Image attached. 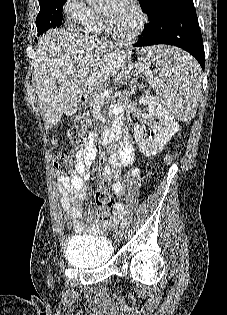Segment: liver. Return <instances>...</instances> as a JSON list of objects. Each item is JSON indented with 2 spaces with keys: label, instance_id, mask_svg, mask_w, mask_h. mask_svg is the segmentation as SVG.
Here are the masks:
<instances>
[{
  "label": "liver",
  "instance_id": "obj_1",
  "mask_svg": "<svg viewBox=\"0 0 227 315\" xmlns=\"http://www.w3.org/2000/svg\"><path fill=\"white\" fill-rule=\"evenodd\" d=\"M34 56L32 82L43 104L47 128L57 124L63 114L71 116L77 112L79 94L89 77L112 72L116 60H123L113 43L64 29H53L40 36Z\"/></svg>",
  "mask_w": 227,
  "mask_h": 315
}]
</instances>
